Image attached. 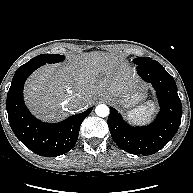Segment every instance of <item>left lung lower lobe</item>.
Listing matches in <instances>:
<instances>
[{
	"instance_id": "1",
	"label": "left lung lower lobe",
	"mask_w": 193,
	"mask_h": 193,
	"mask_svg": "<svg viewBox=\"0 0 193 193\" xmlns=\"http://www.w3.org/2000/svg\"><path fill=\"white\" fill-rule=\"evenodd\" d=\"M137 72L156 90L159 114L148 126L132 127L110 107L108 126L120 149L134 155H151L162 149L176 134L181 123L182 105L173 77L157 61L137 66Z\"/></svg>"
}]
</instances>
